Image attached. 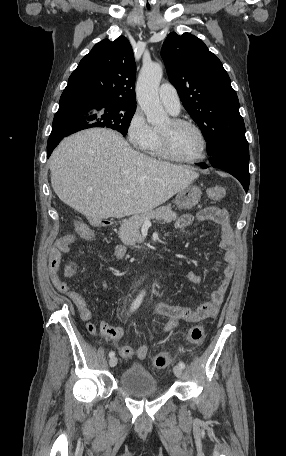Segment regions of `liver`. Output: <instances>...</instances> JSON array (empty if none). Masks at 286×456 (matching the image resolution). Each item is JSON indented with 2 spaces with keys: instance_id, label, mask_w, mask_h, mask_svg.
<instances>
[{
  "instance_id": "obj_1",
  "label": "liver",
  "mask_w": 286,
  "mask_h": 456,
  "mask_svg": "<svg viewBox=\"0 0 286 456\" xmlns=\"http://www.w3.org/2000/svg\"><path fill=\"white\" fill-rule=\"evenodd\" d=\"M49 167L59 199L90 222L150 211L199 176L190 166L133 150L120 134L104 128L65 138L52 153Z\"/></svg>"
}]
</instances>
